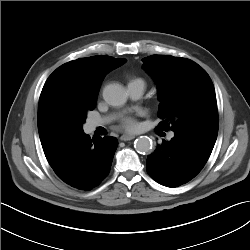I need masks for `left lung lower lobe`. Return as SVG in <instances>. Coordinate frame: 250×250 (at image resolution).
<instances>
[{
  "label": "left lung lower lobe",
  "mask_w": 250,
  "mask_h": 250,
  "mask_svg": "<svg viewBox=\"0 0 250 250\" xmlns=\"http://www.w3.org/2000/svg\"><path fill=\"white\" fill-rule=\"evenodd\" d=\"M170 141L163 140L147 158V172L158 183L177 187L194 178L213 150L218 126L175 131Z\"/></svg>",
  "instance_id": "obj_1"
}]
</instances>
